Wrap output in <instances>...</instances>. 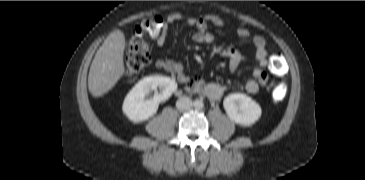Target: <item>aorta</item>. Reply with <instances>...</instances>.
<instances>
[{"label": "aorta", "instance_id": "obj_1", "mask_svg": "<svg viewBox=\"0 0 365 180\" xmlns=\"http://www.w3.org/2000/svg\"><path fill=\"white\" fill-rule=\"evenodd\" d=\"M193 105L196 109H202L204 106L203 101L201 100H195Z\"/></svg>", "mask_w": 365, "mask_h": 180}]
</instances>
